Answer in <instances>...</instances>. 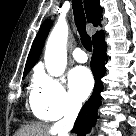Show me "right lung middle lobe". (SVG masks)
I'll return each instance as SVG.
<instances>
[{"instance_id":"obj_1","label":"right lung middle lobe","mask_w":136,"mask_h":136,"mask_svg":"<svg viewBox=\"0 0 136 136\" xmlns=\"http://www.w3.org/2000/svg\"><path fill=\"white\" fill-rule=\"evenodd\" d=\"M27 74H24L23 78L26 76Z\"/></svg>"}]
</instances>
